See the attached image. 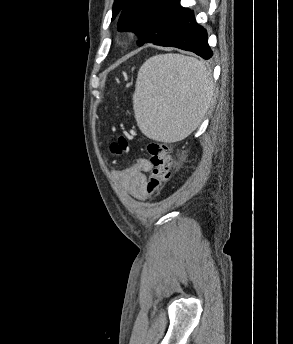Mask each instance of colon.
I'll use <instances>...</instances> for the list:
<instances>
[{
    "label": "colon",
    "mask_w": 293,
    "mask_h": 344,
    "mask_svg": "<svg viewBox=\"0 0 293 344\" xmlns=\"http://www.w3.org/2000/svg\"><path fill=\"white\" fill-rule=\"evenodd\" d=\"M128 143L124 136H120L111 145L113 154H121L127 149ZM147 152L152 165V170L146 181V191L149 195L157 194L162 186L167 183L171 176L172 157L170 147L162 142H150Z\"/></svg>",
    "instance_id": "5ec220e1"
}]
</instances>
